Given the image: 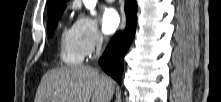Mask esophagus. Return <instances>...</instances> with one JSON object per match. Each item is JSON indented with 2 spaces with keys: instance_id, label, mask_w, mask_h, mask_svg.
I'll return each instance as SVG.
<instances>
[{
  "instance_id": "34e87169",
  "label": "esophagus",
  "mask_w": 221,
  "mask_h": 102,
  "mask_svg": "<svg viewBox=\"0 0 221 102\" xmlns=\"http://www.w3.org/2000/svg\"><path fill=\"white\" fill-rule=\"evenodd\" d=\"M124 24H125V21H124V19H123V22H122V25H121L122 28L124 27Z\"/></svg>"
}]
</instances>
